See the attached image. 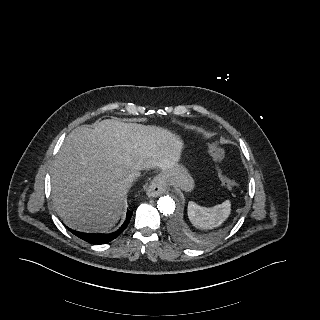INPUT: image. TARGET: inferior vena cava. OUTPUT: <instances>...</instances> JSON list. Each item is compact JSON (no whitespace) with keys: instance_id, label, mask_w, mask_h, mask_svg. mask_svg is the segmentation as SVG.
Segmentation results:
<instances>
[{"instance_id":"inferior-vena-cava-1","label":"inferior vena cava","mask_w":320,"mask_h":320,"mask_svg":"<svg viewBox=\"0 0 320 320\" xmlns=\"http://www.w3.org/2000/svg\"><path fill=\"white\" fill-rule=\"evenodd\" d=\"M140 176V172L137 170L130 171L127 175V181L128 182H133L136 178Z\"/></svg>"}]
</instances>
